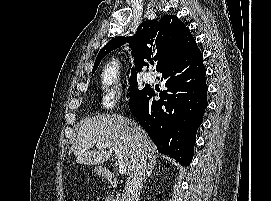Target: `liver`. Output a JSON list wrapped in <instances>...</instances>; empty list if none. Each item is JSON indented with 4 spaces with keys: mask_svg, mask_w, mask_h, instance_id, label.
Masks as SVG:
<instances>
[{
    "mask_svg": "<svg viewBox=\"0 0 271 201\" xmlns=\"http://www.w3.org/2000/svg\"><path fill=\"white\" fill-rule=\"evenodd\" d=\"M137 127L135 122L118 114L87 118L80 126L70 152L75 154L77 163L97 165L107 161L110 158L109 150L116 147L124 157L129 175L141 149L147 158L156 159V146L148 136L142 144L136 138ZM97 144L103 147L97 151L90 150Z\"/></svg>",
    "mask_w": 271,
    "mask_h": 201,
    "instance_id": "liver-1",
    "label": "liver"
}]
</instances>
